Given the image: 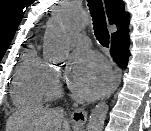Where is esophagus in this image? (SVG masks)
Returning a JSON list of instances; mask_svg holds the SVG:
<instances>
[{
  "label": "esophagus",
  "instance_id": "1",
  "mask_svg": "<svg viewBox=\"0 0 151 131\" xmlns=\"http://www.w3.org/2000/svg\"><path fill=\"white\" fill-rule=\"evenodd\" d=\"M120 80H121V69L117 67L114 71L113 79L107 90L104 92L102 99L109 98L115 92L120 83ZM87 116H88L87 111L84 108H79L72 113L71 119L75 124L81 126L86 123Z\"/></svg>",
  "mask_w": 151,
  "mask_h": 131
}]
</instances>
